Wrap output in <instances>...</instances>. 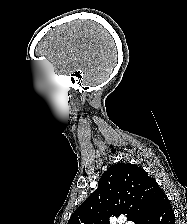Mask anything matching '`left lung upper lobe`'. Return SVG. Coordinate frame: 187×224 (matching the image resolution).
I'll return each mask as SVG.
<instances>
[{
	"label": "left lung upper lobe",
	"mask_w": 187,
	"mask_h": 224,
	"mask_svg": "<svg viewBox=\"0 0 187 224\" xmlns=\"http://www.w3.org/2000/svg\"><path fill=\"white\" fill-rule=\"evenodd\" d=\"M160 190L141 167L130 163L112 165L101 176L97 190L74 211L68 224H110V218L120 214L141 224Z\"/></svg>",
	"instance_id": "1"
}]
</instances>
